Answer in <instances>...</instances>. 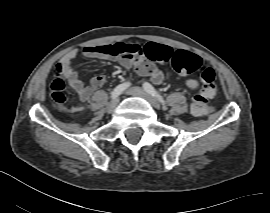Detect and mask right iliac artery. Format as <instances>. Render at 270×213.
Returning <instances> with one entry per match:
<instances>
[{
	"label": "right iliac artery",
	"mask_w": 270,
	"mask_h": 213,
	"mask_svg": "<svg viewBox=\"0 0 270 213\" xmlns=\"http://www.w3.org/2000/svg\"><path fill=\"white\" fill-rule=\"evenodd\" d=\"M131 84L129 82L122 83L118 85L111 93V99L117 98L121 93H123Z\"/></svg>",
	"instance_id": "1"
}]
</instances>
